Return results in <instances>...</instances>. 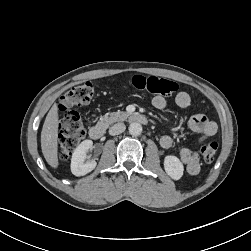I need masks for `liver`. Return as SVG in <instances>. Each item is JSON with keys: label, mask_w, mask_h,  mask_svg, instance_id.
<instances>
[{"label": "liver", "mask_w": 251, "mask_h": 251, "mask_svg": "<svg viewBox=\"0 0 251 251\" xmlns=\"http://www.w3.org/2000/svg\"><path fill=\"white\" fill-rule=\"evenodd\" d=\"M58 107L54 104L49 110L41 132V149L47 163L57 168L58 162Z\"/></svg>", "instance_id": "obj_1"}]
</instances>
